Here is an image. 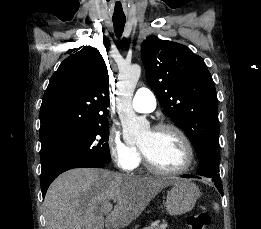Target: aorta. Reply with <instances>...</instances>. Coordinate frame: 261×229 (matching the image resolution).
Returning <instances> with one entry per match:
<instances>
[{"label":"aorta","instance_id":"obj_1","mask_svg":"<svg viewBox=\"0 0 261 229\" xmlns=\"http://www.w3.org/2000/svg\"><path fill=\"white\" fill-rule=\"evenodd\" d=\"M141 74L140 64L121 66L117 82L116 106L120 123L126 135L134 139H143L149 135V123L146 117H137L132 108V96Z\"/></svg>","mask_w":261,"mask_h":229}]
</instances>
